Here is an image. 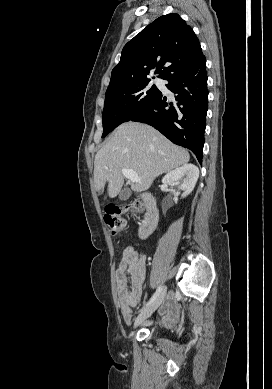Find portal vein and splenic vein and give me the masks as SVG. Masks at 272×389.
Instances as JSON below:
<instances>
[{
  "label": "portal vein and splenic vein",
  "instance_id": "obj_1",
  "mask_svg": "<svg viewBox=\"0 0 272 389\" xmlns=\"http://www.w3.org/2000/svg\"><path fill=\"white\" fill-rule=\"evenodd\" d=\"M122 174L124 177L128 178L132 183H138L140 182V178L138 177V174L130 169H122Z\"/></svg>",
  "mask_w": 272,
  "mask_h": 389
}]
</instances>
